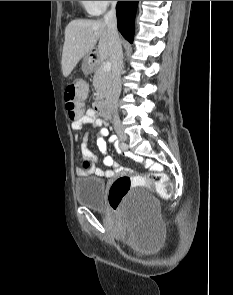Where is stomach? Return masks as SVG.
<instances>
[{
	"instance_id": "1",
	"label": "stomach",
	"mask_w": 233,
	"mask_h": 295,
	"mask_svg": "<svg viewBox=\"0 0 233 295\" xmlns=\"http://www.w3.org/2000/svg\"><path fill=\"white\" fill-rule=\"evenodd\" d=\"M93 68V65L91 64L90 56H86L82 65V69L85 73H89Z\"/></svg>"
}]
</instances>
